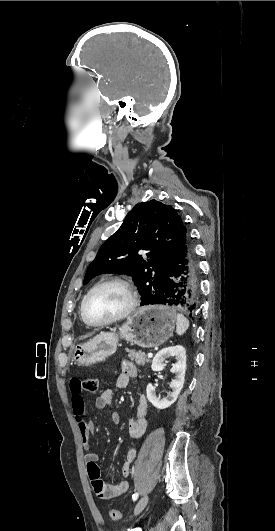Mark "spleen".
Here are the masks:
<instances>
[{"label": "spleen", "instance_id": "1", "mask_svg": "<svg viewBox=\"0 0 275 531\" xmlns=\"http://www.w3.org/2000/svg\"><path fill=\"white\" fill-rule=\"evenodd\" d=\"M189 321L182 315V313H178L176 317V333L177 335H184L186 333L187 329H189Z\"/></svg>", "mask_w": 275, "mask_h": 531}]
</instances>
